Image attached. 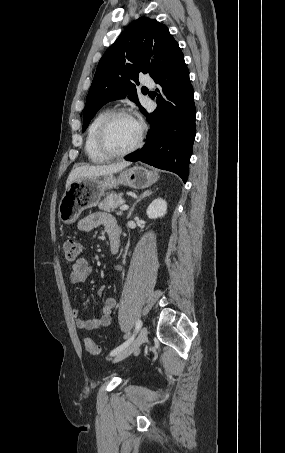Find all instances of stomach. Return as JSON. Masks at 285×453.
I'll use <instances>...</instances> for the list:
<instances>
[{
  "label": "stomach",
  "instance_id": "1",
  "mask_svg": "<svg viewBox=\"0 0 285 453\" xmlns=\"http://www.w3.org/2000/svg\"><path fill=\"white\" fill-rule=\"evenodd\" d=\"M158 178V173L134 166L121 171L117 177L111 174L75 180L61 198L58 208L59 220L64 224L74 223L83 210L96 206L108 189L125 185L141 190L150 187Z\"/></svg>",
  "mask_w": 285,
  "mask_h": 453
}]
</instances>
